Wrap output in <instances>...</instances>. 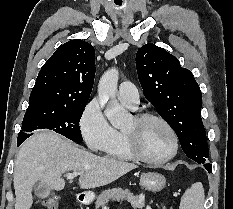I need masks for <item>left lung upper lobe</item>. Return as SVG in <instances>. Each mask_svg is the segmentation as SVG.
<instances>
[{"instance_id":"5c2ea615","label":"left lung upper lobe","mask_w":233,"mask_h":209,"mask_svg":"<svg viewBox=\"0 0 233 209\" xmlns=\"http://www.w3.org/2000/svg\"><path fill=\"white\" fill-rule=\"evenodd\" d=\"M136 67L147 100L173 128L187 157L204 164L209 150L201 119L202 95L192 72L154 44L137 51Z\"/></svg>"}]
</instances>
